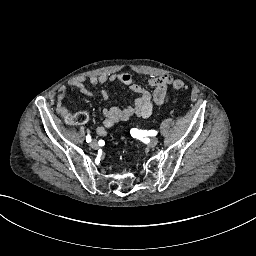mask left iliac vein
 Here are the masks:
<instances>
[{"mask_svg":"<svg viewBox=\"0 0 256 256\" xmlns=\"http://www.w3.org/2000/svg\"><path fill=\"white\" fill-rule=\"evenodd\" d=\"M157 144H158V138L154 137V138H152V139L150 140V142L148 143V146H149L150 148H154V147L157 146Z\"/></svg>","mask_w":256,"mask_h":256,"instance_id":"obj_1","label":"left iliac vein"}]
</instances>
